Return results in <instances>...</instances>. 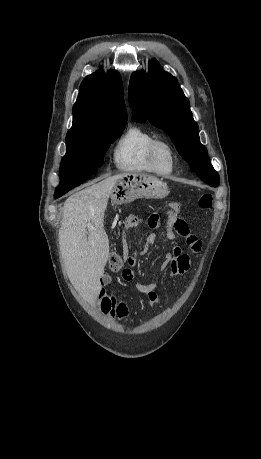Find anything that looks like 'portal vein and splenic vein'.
Instances as JSON below:
<instances>
[{
  "label": "portal vein and splenic vein",
  "instance_id": "1",
  "mask_svg": "<svg viewBox=\"0 0 261 459\" xmlns=\"http://www.w3.org/2000/svg\"><path fill=\"white\" fill-rule=\"evenodd\" d=\"M87 226H88V228H93L91 224H88Z\"/></svg>",
  "mask_w": 261,
  "mask_h": 459
}]
</instances>
